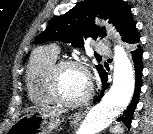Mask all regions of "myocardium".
Listing matches in <instances>:
<instances>
[{"label": "myocardium", "instance_id": "1", "mask_svg": "<svg viewBox=\"0 0 153 134\" xmlns=\"http://www.w3.org/2000/svg\"><path fill=\"white\" fill-rule=\"evenodd\" d=\"M66 68H77L83 71L87 76L89 82V90L87 95L80 100H68L61 94L59 88V78L61 72ZM46 83L49 94L55 100V102L68 107H79L86 104L93 94V83L88 67L84 63L73 59H61L54 62L47 71Z\"/></svg>", "mask_w": 153, "mask_h": 134}]
</instances>
